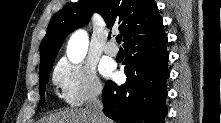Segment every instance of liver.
Instances as JSON below:
<instances>
[{
	"label": "liver",
	"instance_id": "liver-1",
	"mask_svg": "<svg viewBox=\"0 0 221 123\" xmlns=\"http://www.w3.org/2000/svg\"><path fill=\"white\" fill-rule=\"evenodd\" d=\"M44 123H92L87 109H77L51 115ZM104 123H111L104 117Z\"/></svg>",
	"mask_w": 221,
	"mask_h": 123
}]
</instances>
